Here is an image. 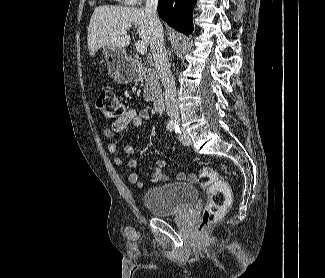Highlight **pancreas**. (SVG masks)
Instances as JSON below:
<instances>
[{"label": "pancreas", "mask_w": 325, "mask_h": 278, "mask_svg": "<svg viewBox=\"0 0 325 278\" xmlns=\"http://www.w3.org/2000/svg\"><path fill=\"white\" fill-rule=\"evenodd\" d=\"M137 80L144 83V99L153 102L161 95V87L156 71L153 68L143 65L138 70Z\"/></svg>", "instance_id": "cf45deb5"}]
</instances>
